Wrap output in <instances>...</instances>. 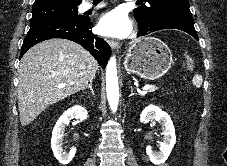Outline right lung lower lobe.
Masks as SVG:
<instances>
[{
	"label": "right lung lower lobe",
	"mask_w": 227,
	"mask_h": 166,
	"mask_svg": "<svg viewBox=\"0 0 227 166\" xmlns=\"http://www.w3.org/2000/svg\"><path fill=\"white\" fill-rule=\"evenodd\" d=\"M92 23L88 17L80 19L54 18L30 25L20 58L35 44L51 38H63L74 41L88 50L98 63L105 68L111 55V49L103 38L92 34Z\"/></svg>",
	"instance_id": "obj_1"
}]
</instances>
